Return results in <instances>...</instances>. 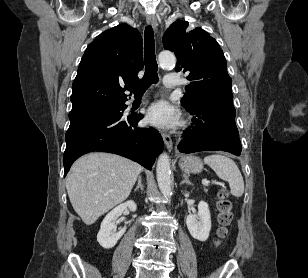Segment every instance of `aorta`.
I'll return each mask as SVG.
<instances>
[{"label": "aorta", "mask_w": 308, "mask_h": 278, "mask_svg": "<svg viewBox=\"0 0 308 278\" xmlns=\"http://www.w3.org/2000/svg\"><path fill=\"white\" fill-rule=\"evenodd\" d=\"M159 62L162 66H173L176 63L175 55L170 51H162L158 56ZM157 182L161 193L166 198H170L171 191V170L170 159L168 154L162 153L157 161L156 167Z\"/></svg>", "instance_id": "aorta-1"}]
</instances>
